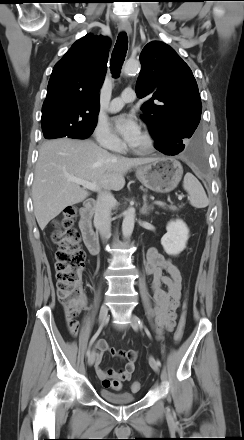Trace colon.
Segmentation results:
<instances>
[{
	"label": "colon",
	"mask_w": 244,
	"mask_h": 440,
	"mask_svg": "<svg viewBox=\"0 0 244 440\" xmlns=\"http://www.w3.org/2000/svg\"><path fill=\"white\" fill-rule=\"evenodd\" d=\"M76 208L70 206L64 210L61 219L54 223L52 240L57 245L56 251V277L57 295L60 303L64 307L65 315L71 321L75 320L76 315L85 306V294L82 286L83 273L85 271V254L78 246V234L72 227V220L75 216ZM187 295L183 302L182 314L174 334L176 343L180 342L186 324ZM107 389L119 390L122 382L110 378L102 382ZM140 382L134 381L131 390L136 392L140 389Z\"/></svg>",
	"instance_id": "5ec220e1"
}]
</instances>
